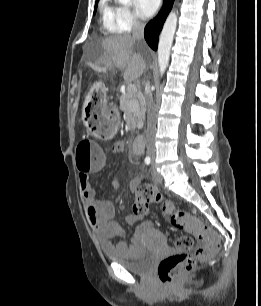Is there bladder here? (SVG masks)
<instances>
[{
	"label": "bladder",
	"mask_w": 261,
	"mask_h": 306,
	"mask_svg": "<svg viewBox=\"0 0 261 306\" xmlns=\"http://www.w3.org/2000/svg\"><path fill=\"white\" fill-rule=\"evenodd\" d=\"M150 232L157 240L155 245H146L138 235L135 244L130 247L126 254L118 256L105 252L106 258L120 264L130 272L138 274L147 273L157 259L164 240V235L158 230L150 229Z\"/></svg>",
	"instance_id": "31cf9c89"
}]
</instances>
